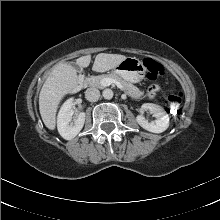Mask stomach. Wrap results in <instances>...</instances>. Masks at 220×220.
<instances>
[{
    "mask_svg": "<svg viewBox=\"0 0 220 220\" xmlns=\"http://www.w3.org/2000/svg\"><path fill=\"white\" fill-rule=\"evenodd\" d=\"M114 72L128 82L138 83L144 79L146 68L139 59L126 57L114 68Z\"/></svg>",
    "mask_w": 220,
    "mask_h": 220,
    "instance_id": "0dacf381",
    "label": "stomach"
}]
</instances>
